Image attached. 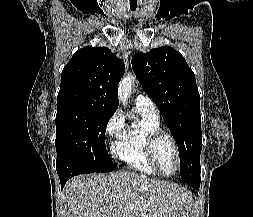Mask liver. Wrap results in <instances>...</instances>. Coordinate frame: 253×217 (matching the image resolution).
Listing matches in <instances>:
<instances>
[{
    "label": "liver",
    "mask_w": 253,
    "mask_h": 217,
    "mask_svg": "<svg viewBox=\"0 0 253 217\" xmlns=\"http://www.w3.org/2000/svg\"><path fill=\"white\" fill-rule=\"evenodd\" d=\"M65 198L66 217H189L191 203L181 186L129 172L75 177Z\"/></svg>",
    "instance_id": "obj_1"
}]
</instances>
